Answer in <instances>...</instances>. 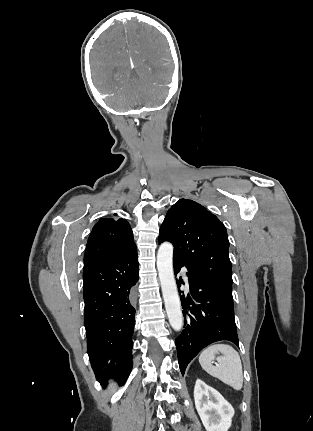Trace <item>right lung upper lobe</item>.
Wrapping results in <instances>:
<instances>
[{
  "mask_svg": "<svg viewBox=\"0 0 313 431\" xmlns=\"http://www.w3.org/2000/svg\"><path fill=\"white\" fill-rule=\"evenodd\" d=\"M132 248L136 245L129 223L125 219L102 218L89 236L84 265L121 256Z\"/></svg>",
  "mask_w": 313,
  "mask_h": 431,
  "instance_id": "cb5924a9",
  "label": "right lung upper lobe"
}]
</instances>
